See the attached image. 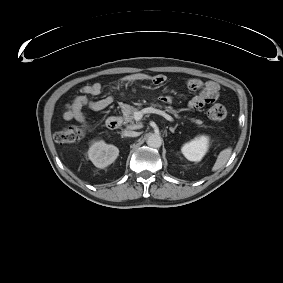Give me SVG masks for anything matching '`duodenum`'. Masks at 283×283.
I'll list each match as a JSON object with an SVG mask.
<instances>
[{"label":"duodenum","instance_id":"1","mask_svg":"<svg viewBox=\"0 0 283 283\" xmlns=\"http://www.w3.org/2000/svg\"><path fill=\"white\" fill-rule=\"evenodd\" d=\"M105 124L108 129L114 130L121 125V119L117 116H111L106 119Z\"/></svg>","mask_w":283,"mask_h":283}]
</instances>
